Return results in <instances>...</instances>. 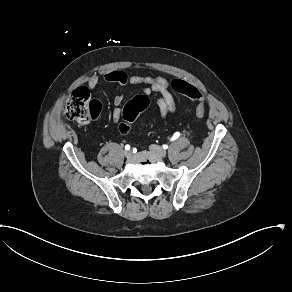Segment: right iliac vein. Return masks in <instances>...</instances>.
I'll return each instance as SVG.
<instances>
[{"label":"right iliac vein","mask_w":292,"mask_h":292,"mask_svg":"<svg viewBox=\"0 0 292 292\" xmlns=\"http://www.w3.org/2000/svg\"><path fill=\"white\" fill-rule=\"evenodd\" d=\"M124 155H125L126 158H129V157H131L132 152L130 150H125L124 151Z\"/></svg>","instance_id":"obj_1"}]
</instances>
